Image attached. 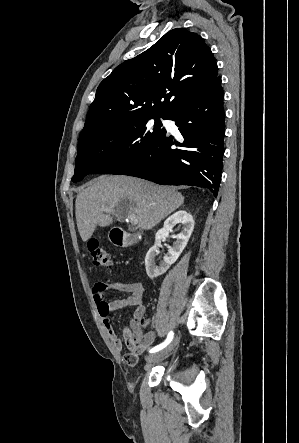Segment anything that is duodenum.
Returning a JSON list of instances; mask_svg holds the SVG:
<instances>
[{"mask_svg":"<svg viewBox=\"0 0 299 443\" xmlns=\"http://www.w3.org/2000/svg\"><path fill=\"white\" fill-rule=\"evenodd\" d=\"M132 240L133 238L121 228L115 227L111 231V241L117 246L128 247Z\"/></svg>","mask_w":299,"mask_h":443,"instance_id":"410a0bca","label":"duodenum"}]
</instances>
